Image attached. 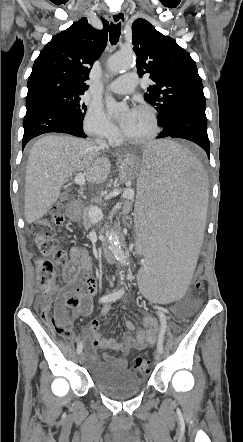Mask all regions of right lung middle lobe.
I'll list each match as a JSON object with an SVG mask.
<instances>
[{
	"label": "right lung middle lobe",
	"instance_id": "1",
	"mask_svg": "<svg viewBox=\"0 0 243 442\" xmlns=\"http://www.w3.org/2000/svg\"><path fill=\"white\" fill-rule=\"evenodd\" d=\"M82 96L83 93L54 89L44 92L33 98H49L58 101L68 109L73 117H75L80 123H82L87 108L86 105L81 101Z\"/></svg>",
	"mask_w": 243,
	"mask_h": 442
}]
</instances>
